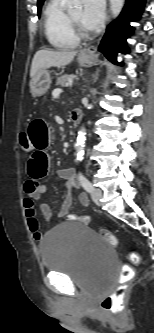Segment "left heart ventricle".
Segmentation results:
<instances>
[{
  "instance_id": "left-heart-ventricle-1",
  "label": "left heart ventricle",
  "mask_w": 154,
  "mask_h": 333,
  "mask_svg": "<svg viewBox=\"0 0 154 333\" xmlns=\"http://www.w3.org/2000/svg\"><path fill=\"white\" fill-rule=\"evenodd\" d=\"M81 12H82V10H81V8L80 7H77V8H75V9H73V10H71L70 12H69V14H70V16L76 21V22H78L85 30H88L87 28H85L84 26H83V24H82V22H81Z\"/></svg>"
}]
</instances>
